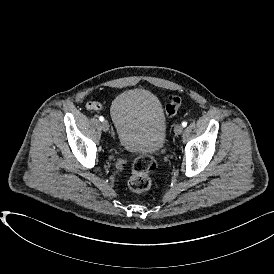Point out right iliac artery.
Wrapping results in <instances>:
<instances>
[{
    "instance_id": "right-iliac-artery-1",
    "label": "right iliac artery",
    "mask_w": 274,
    "mask_h": 274,
    "mask_svg": "<svg viewBox=\"0 0 274 274\" xmlns=\"http://www.w3.org/2000/svg\"><path fill=\"white\" fill-rule=\"evenodd\" d=\"M99 120H100V121H103V120H104V117H103V116H100V117H99Z\"/></svg>"
}]
</instances>
